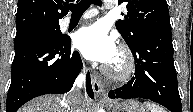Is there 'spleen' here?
Here are the masks:
<instances>
[{"mask_svg":"<svg viewBox=\"0 0 193 112\" xmlns=\"http://www.w3.org/2000/svg\"><path fill=\"white\" fill-rule=\"evenodd\" d=\"M146 107L150 110V112H164L162 108L154 103H146Z\"/></svg>","mask_w":193,"mask_h":112,"instance_id":"3e777b00","label":"spleen"}]
</instances>
